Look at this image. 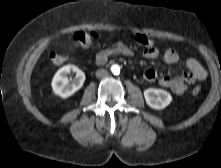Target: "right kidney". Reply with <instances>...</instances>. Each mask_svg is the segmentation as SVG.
<instances>
[{"label":"right kidney","mask_w":221,"mask_h":168,"mask_svg":"<svg viewBox=\"0 0 221 168\" xmlns=\"http://www.w3.org/2000/svg\"><path fill=\"white\" fill-rule=\"evenodd\" d=\"M76 72L74 80H69L67 75L71 72ZM85 82V74L74 65H66L60 68L54 75L52 80L53 92L62 97L68 98L78 91Z\"/></svg>","instance_id":"obj_1"}]
</instances>
